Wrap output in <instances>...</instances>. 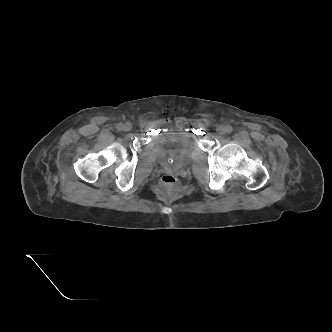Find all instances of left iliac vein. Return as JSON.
Wrapping results in <instances>:
<instances>
[{"label":"left iliac vein","mask_w":332,"mask_h":332,"mask_svg":"<svg viewBox=\"0 0 332 332\" xmlns=\"http://www.w3.org/2000/svg\"><path fill=\"white\" fill-rule=\"evenodd\" d=\"M217 132L221 135L226 133V128L223 125H218L216 128Z\"/></svg>","instance_id":"obj_1"}]
</instances>
